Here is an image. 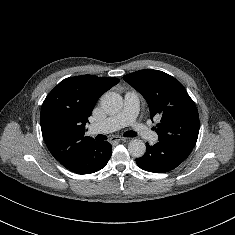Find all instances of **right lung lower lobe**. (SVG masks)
Here are the masks:
<instances>
[{
	"label": "right lung lower lobe",
	"mask_w": 235,
	"mask_h": 235,
	"mask_svg": "<svg viewBox=\"0 0 235 235\" xmlns=\"http://www.w3.org/2000/svg\"><path fill=\"white\" fill-rule=\"evenodd\" d=\"M112 155V146L107 141L86 144L76 158L65 167L78 174H90L101 170Z\"/></svg>",
	"instance_id": "right-lung-lower-lobe-1"
}]
</instances>
